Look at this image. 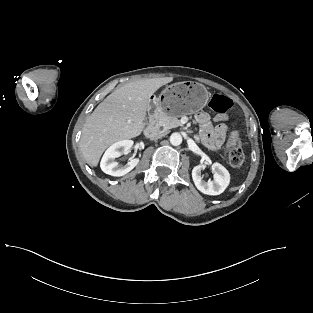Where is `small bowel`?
Segmentation results:
<instances>
[{
    "label": "small bowel",
    "instance_id": "c3829d8e",
    "mask_svg": "<svg viewBox=\"0 0 313 313\" xmlns=\"http://www.w3.org/2000/svg\"><path fill=\"white\" fill-rule=\"evenodd\" d=\"M226 119V115L218 114L214 118V121L218 122V124L213 127L210 116L206 112H199L196 115V121L200 128V139L210 149H217L223 144L227 131V127L223 121ZM235 134L238 137V133L236 131Z\"/></svg>",
    "mask_w": 313,
    "mask_h": 313
}]
</instances>
